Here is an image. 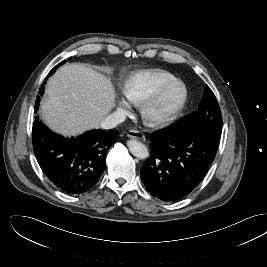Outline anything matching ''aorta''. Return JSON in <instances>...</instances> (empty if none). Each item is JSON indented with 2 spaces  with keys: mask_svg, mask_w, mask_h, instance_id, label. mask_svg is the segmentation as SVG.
I'll list each match as a JSON object with an SVG mask.
<instances>
[{
  "mask_svg": "<svg viewBox=\"0 0 267 267\" xmlns=\"http://www.w3.org/2000/svg\"><path fill=\"white\" fill-rule=\"evenodd\" d=\"M127 146L129 151L139 159H145L149 155L147 147L136 139L129 140Z\"/></svg>",
  "mask_w": 267,
  "mask_h": 267,
  "instance_id": "aorta-1",
  "label": "aorta"
}]
</instances>
